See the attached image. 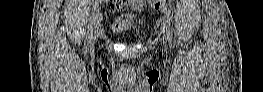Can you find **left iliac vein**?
Masks as SVG:
<instances>
[{
  "label": "left iliac vein",
  "mask_w": 263,
  "mask_h": 92,
  "mask_svg": "<svg viewBox=\"0 0 263 92\" xmlns=\"http://www.w3.org/2000/svg\"><path fill=\"white\" fill-rule=\"evenodd\" d=\"M163 39H164L165 42H167V35H164Z\"/></svg>",
  "instance_id": "1"
}]
</instances>
